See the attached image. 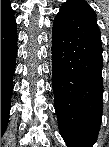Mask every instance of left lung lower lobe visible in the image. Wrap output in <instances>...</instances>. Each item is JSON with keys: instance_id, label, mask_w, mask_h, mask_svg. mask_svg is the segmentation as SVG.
Returning a JSON list of instances; mask_svg holds the SVG:
<instances>
[{"instance_id": "0a47b994", "label": "left lung lower lobe", "mask_w": 109, "mask_h": 147, "mask_svg": "<svg viewBox=\"0 0 109 147\" xmlns=\"http://www.w3.org/2000/svg\"><path fill=\"white\" fill-rule=\"evenodd\" d=\"M102 44L96 17L66 2L52 31V83L60 133L70 147H92L103 110Z\"/></svg>"}]
</instances>
